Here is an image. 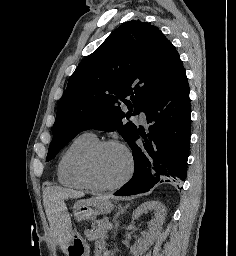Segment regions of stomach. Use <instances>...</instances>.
I'll use <instances>...</instances> for the list:
<instances>
[{"instance_id":"1","label":"stomach","mask_w":236,"mask_h":256,"mask_svg":"<svg viewBox=\"0 0 236 256\" xmlns=\"http://www.w3.org/2000/svg\"><path fill=\"white\" fill-rule=\"evenodd\" d=\"M113 209L112 202L103 196L92 197L90 199L79 200L73 207L75 219L94 220L100 214H108ZM89 245L86 240L78 233L73 232L67 247V256H89Z\"/></svg>"}]
</instances>
